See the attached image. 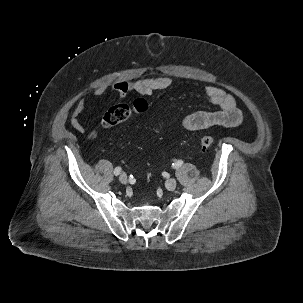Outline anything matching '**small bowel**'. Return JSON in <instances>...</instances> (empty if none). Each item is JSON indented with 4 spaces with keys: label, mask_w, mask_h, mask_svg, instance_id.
I'll return each mask as SVG.
<instances>
[{
    "label": "small bowel",
    "mask_w": 303,
    "mask_h": 303,
    "mask_svg": "<svg viewBox=\"0 0 303 303\" xmlns=\"http://www.w3.org/2000/svg\"><path fill=\"white\" fill-rule=\"evenodd\" d=\"M172 84L171 78L167 76H156L143 78L134 81H118L113 86V91L119 98H124L127 94L135 92L142 95H151L154 92L165 90ZM104 88L95 91L96 96L105 94ZM204 93L211 104L216 106L212 111H197L185 116L182 120V127L188 131H197L213 126L237 127L243 121L242 114L236 105L234 96L223 89L209 85L204 89ZM86 107L85 99H80L72 110L70 125L78 132H85V127L79 117ZM89 139L97 138V132L92 131L88 135Z\"/></svg>",
    "instance_id": "small-bowel-1"
}]
</instances>
